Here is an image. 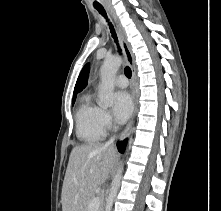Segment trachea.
Listing matches in <instances>:
<instances>
[{
  "label": "trachea",
  "instance_id": "trachea-1",
  "mask_svg": "<svg viewBox=\"0 0 221 211\" xmlns=\"http://www.w3.org/2000/svg\"><path fill=\"white\" fill-rule=\"evenodd\" d=\"M96 9L107 20V22L109 24L111 34H112V37H113L115 43L117 44L119 51H121L120 46L118 44V38H117V35H116V32H115V29H114L113 25L109 22V19L107 18L106 11L104 10V8H96ZM124 73H125L127 78H131L132 73H131L130 67L126 66L125 69H124Z\"/></svg>",
  "mask_w": 221,
  "mask_h": 211
}]
</instances>
